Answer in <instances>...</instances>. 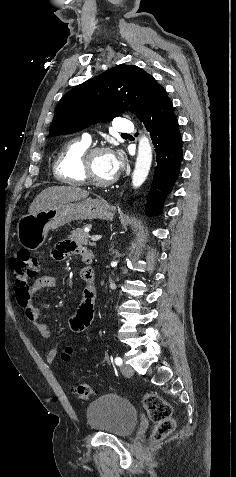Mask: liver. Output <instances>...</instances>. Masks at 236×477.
Listing matches in <instances>:
<instances>
[{
  "mask_svg": "<svg viewBox=\"0 0 236 477\" xmlns=\"http://www.w3.org/2000/svg\"><path fill=\"white\" fill-rule=\"evenodd\" d=\"M89 192L73 186H52L36 196L29 207L30 214H36L50 207L87 198Z\"/></svg>",
  "mask_w": 236,
  "mask_h": 477,
  "instance_id": "6515ba94",
  "label": "liver"
}]
</instances>
